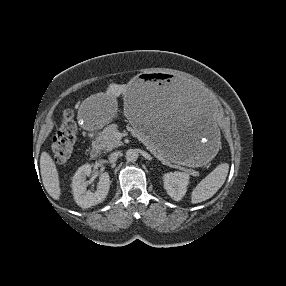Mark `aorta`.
I'll list each match as a JSON object with an SVG mask.
<instances>
[{"label":"aorta","mask_w":286,"mask_h":286,"mask_svg":"<svg viewBox=\"0 0 286 286\" xmlns=\"http://www.w3.org/2000/svg\"><path fill=\"white\" fill-rule=\"evenodd\" d=\"M125 157L127 161L134 162L138 159V152L135 149H128Z\"/></svg>","instance_id":"aorta-1"}]
</instances>
